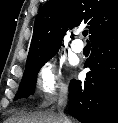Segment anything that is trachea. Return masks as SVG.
<instances>
[{
  "mask_svg": "<svg viewBox=\"0 0 118 123\" xmlns=\"http://www.w3.org/2000/svg\"><path fill=\"white\" fill-rule=\"evenodd\" d=\"M87 34H88L87 30L83 31V36H87Z\"/></svg>",
  "mask_w": 118,
  "mask_h": 123,
  "instance_id": "3493384b",
  "label": "trachea"
}]
</instances>
